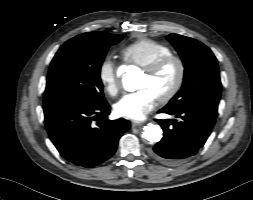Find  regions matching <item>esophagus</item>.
Returning <instances> with one entry per match:
<instances>
[{"label": "esophagus", "instance_id": "34e87169", "mask_svg": "<svg viewBox=\"0 0 253 200\" xmlns=\"http://www.w3.org/2000/svg\"><path fill=\"white\" fill-rule=\"evenodd\" d=\"M142 125H143L142 123H138V122H133V123L131 124L132 128L140 127V126H142Z\"/></svg>", "mask_w": 253, "mask_h": 200}]
</instances>
